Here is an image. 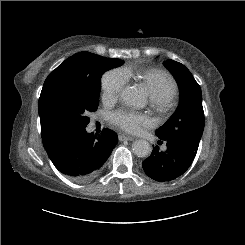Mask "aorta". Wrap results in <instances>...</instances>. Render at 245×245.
Listing matches in <instances>:
<instances>
[{"label":"aorta","mask_w":245,"mask_h":245,"mask_svg":"<svg viewBox=\"0 0 245 245\" xmlns=\"http://www.w3.org/2000/svg\"><path fill=\"white\" fill-rule=\"evenodd\" d=\"M121 98L125 104L135 108H143L146 103L143 91L135 86L125 87L121 93ZM132 149L138 157H148L152 151L149 142L143 139L134 141Z\"/></svg>","instance_id":"aorta-1"}]
</instances>
